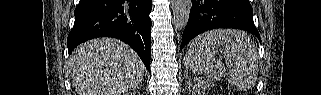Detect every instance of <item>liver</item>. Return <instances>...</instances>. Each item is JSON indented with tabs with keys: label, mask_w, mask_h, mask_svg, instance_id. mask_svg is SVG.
<instances>
[{
	"label": "liver",
	"mask_w": 321,
	"mask_h": 95,
	"mask_svg": "<svg viewBox=\"0 0 321 95\" xmlns=\"http://www.w3.org/2000/svg\"><path fill=\"white\" fill-rule=\"evenodd\" d=\"M68 69L78 95H125L142 82L145 67L127 44L98 38L73 51Z\"/></svg>",
	"instance_id": "liver-1"
}]
</instances>
